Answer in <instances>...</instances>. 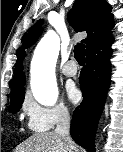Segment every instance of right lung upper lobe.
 <instances>
[{
	"instance_id": "obj_1",
	"label": "right lung upper lobe",
	"mask_w": 123,
	"mask_h": 152,
	"mask_svg": "<svg viewBox=\"0 0 123 152\" xmlns=\"http://www.w3.org/2000/svg\"><path fill=\"white\" fill-rule=\"evenodd\" d=\"M111 7L104 0H76L68 18L70 24L76 32L86 31L87 38L86 53L99 46L111 37L110 31L114 27L113 15L110 13ZM42 20H39L27 34L19 52L15 74L11 83V94L24 89L25 75L22 72V61L26 56L25 49L33 45L41 35Z\"/></svg>"
}]
</instances>
